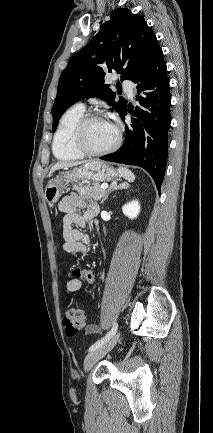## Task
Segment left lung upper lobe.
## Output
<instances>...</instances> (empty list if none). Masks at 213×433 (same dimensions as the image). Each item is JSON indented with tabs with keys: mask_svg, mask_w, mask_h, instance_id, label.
I'll return each mask as SVG.
<instances>
[{
	"mask_svg": "<svg viewBox=\"0 0 213 433\" xmlns=\"http://www.w3.org/2000/svg\"><path fill=\"white\" fill-rule=\"evenodd\" d=\"M159 47L145 19L129 9H117L98 34L68 63L62 72L53 105L55 131L62 114L83 98L99 97L120 114L127 102L104 84L107 72L121 74V81L132 80Z\"/></svg>",
	"mask_w": 213,
	"mask_h": 433,
	"instance_id": "left-lung-upper-lobe-1",
	"label": "left lung upper lobe"
}]
</instances>
